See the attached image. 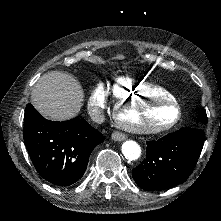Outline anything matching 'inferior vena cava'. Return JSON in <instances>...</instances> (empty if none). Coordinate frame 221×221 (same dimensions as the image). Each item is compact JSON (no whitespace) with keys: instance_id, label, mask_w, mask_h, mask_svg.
<instances>
[{"instance_id":"1","label":"inferior vena cava","mask_w":221,"mask_h":221,"mask_svg":"<svg viewBox=\"0 0 221 221\" xmlns=\"http://www.w3.org/2000/svg\"><path fill=\"white\" fill-rule=\"evenodd\" d=\"M104 120H105L104 112H103V110L100 109L99 113H98V116H97V123L101 124V123L104 122Z\"/></svg>"}]
</instances>
